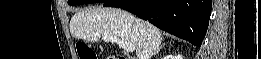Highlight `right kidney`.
<instances>
[{
	"instance_id": "ca27d5eb",
	"label": "right kidney",
	"mask_w": 261,
	"mask_h": 59,
	"mask_svg": "<svg viewBox=\"0 0 261 59\" xmlns=\"http://www.w3.org/2000/svg\"><path fill=\"white\" fill-rule=\"evenodd\" d=\"M169 58H171V59H182V56L177 55V56H167V57H164V59H169Z\"/></svg>"
}]
</instances>
